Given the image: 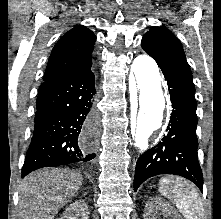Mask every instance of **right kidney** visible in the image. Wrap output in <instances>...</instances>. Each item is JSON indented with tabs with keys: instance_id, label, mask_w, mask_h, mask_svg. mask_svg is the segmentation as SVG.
Wrapping results in <instances>:
<instances>
[{
	"instance_id": "right-kidney-1",
	"label": "right kidney",
	"mask_w": 221,
	"mask_h": 219,
	"mask_svg": "<svg viewBox=\"0 0 221 219\" xmlns=\"http://www.w3.org/2000/svg\"><path fill=\"white\" fill-rule=\"evenodd\" d=\"M88 206L84 200H76L66 208L59 219H88Z\"/></svg>"
}]
</instances>
